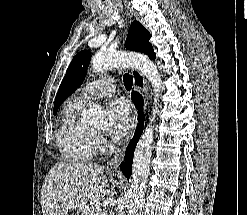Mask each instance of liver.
<instances>
[{
    "label": "liver",
    "mask_w": 247,
    "mask_h": 215,
    "mask_svg": "<svg viewBox=\"0 0 247 215\" xmlns=\"http://www.w3.org/2000/svg\"><path fill=\"white\" fill-rule=\"evenodd\" d=\"M108 181L96 164L57 162L45 177L41 190L43 215H68L87 202L104 198Z\"/></svg>",
    "instance_id": "liver-1"
}]
</instances>
